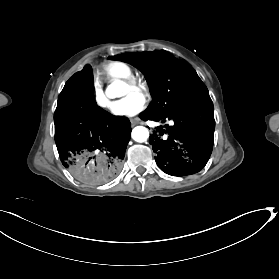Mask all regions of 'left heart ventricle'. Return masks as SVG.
<instances>
[{"label":"left heart ventricle","instance_id":"left-heart-ventricle-1","mask_svg":"<svg viewBox=\"0 0 279 279\" xmlns=\"http://www.w3.org/2000/svg\"><path fill=\"white\" fill-rule=\"evenodd\" d=\"M137 93H135L134 91H132L129 87H127L126 85H121V88H120V96L119 97H126V96H129V95H136Z\"/></svg>","mask_w":279,"mask_h":279}]
</instances>
